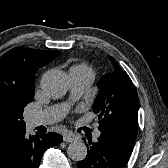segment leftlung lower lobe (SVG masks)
<instances>
[{
	"label": "left lung lower lobe",
	"mask_w": 168,
	"mask_h": 168,
	"mask_svg": "<svg viewBox=\"0 0 168 168\" xmlns=\"http://www.w3.org/2000/svg\"><path fill=\"white\" fill-rule=\"evenodd\" d=\"M100 132L96 143L89 140L87 156L78 162V168H124L136 137L116 129H102Z\"/></svg>",
	"instance_id": "left-lung-lower-lobe-1"
}]
</instances>
